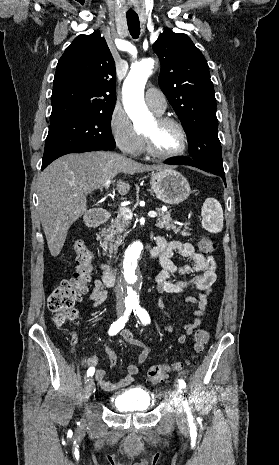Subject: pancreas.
Segmentation results:
<instances>
[{
  "label": "pancreas",
  "mask_w": 279,
  "mask_h": 465,
  "mask_svg": "<svg viewBox=\"0 0 279 465\" xmlns=\"http://www.w3.org/2000/svg\"><path fill=\"white\" fill-rule=\"evenodd\" d=\"M159 218L157 219L156 226L160 229L165 228L168 231H173L174 233L180 232L182 236H190L187 226L182 230L181 227H176L174 222L170 217V211L163 212L157 210ZM130 224V221L124 218L119 214L114 218L111 223L108 225L107 229H103L101 232V237H103V242L100 243L101 247L105 252L109 251L110 254L117 251L118 247L122 244L125 236L127 235V228Z\"/></svg>",
  "instance_id": "1"
}]
</instances>
